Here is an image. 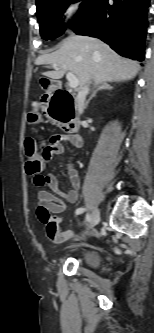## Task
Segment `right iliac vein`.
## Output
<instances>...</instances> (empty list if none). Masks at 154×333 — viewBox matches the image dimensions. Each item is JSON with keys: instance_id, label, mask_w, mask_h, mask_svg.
<instances>
[{"instance_id": "obj_1", "label": "right iliac vein", "mask_w": 154, "mask_h": 333, "mask_svg": "<svg viewBox=\"0 0 154 333\" xmlns=\"http://www.w3.org/2000/svg\"><path fill=\"white\" fill-rule=\"evenodd\" d=\"M99 219H100V213H99V210L96 208L92 212L91 219H90V221H89V223L87 225V229H86L85 233H87L94 226H96L97 223L99 222Z\"/></svg>"}]
</instances>
